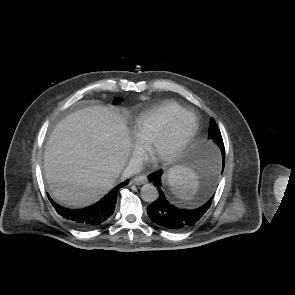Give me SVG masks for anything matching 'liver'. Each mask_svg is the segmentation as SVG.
<instances>
[{
    "instance_id": "obj_1",
    "label": "liver",
    "mask_w": 295,
    "mask_h": 295,
    "mask_svg": "<svg viewBox=\"0 0 295 295\" xmlns=\"http://www.w3.org/2000/svg\"><path fill=\"white\" fill-rule=\"evenodd\" d=\"M131 147L127 127L113 110L93 106L65 117L45 149V177L53 197L82 208L97 202L115 184Z\"/></svg>"
}]
</instances>
